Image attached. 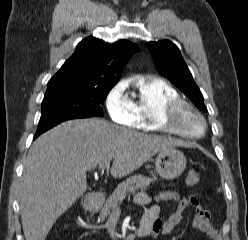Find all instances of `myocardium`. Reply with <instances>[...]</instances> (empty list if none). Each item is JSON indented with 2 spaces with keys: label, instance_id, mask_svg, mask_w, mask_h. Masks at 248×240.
Returning a JSON list of instances; mask_svg holds the SVG:
<instances>
[{
  "label": "myocardium",
  "instance_id": "1",
  "mask_svg": "<svg viewBox=\"0 0 248 240\" xmlns=\"http://www.w3.org/2000/svg\"><path fill=\"white\" fill-rule=\"evenodd\" d=\"M185 111L192 112L197 116L203 125L202 131L198 134L192 133L181 126V116ZM159 124L168 132L188 138H199L207 130V121L203 114L189 101L177 98L163 106L160 113Z\"/></svg>",
  "mask_w": 248,
  "mask_h": 240
}]
</instances>
